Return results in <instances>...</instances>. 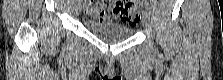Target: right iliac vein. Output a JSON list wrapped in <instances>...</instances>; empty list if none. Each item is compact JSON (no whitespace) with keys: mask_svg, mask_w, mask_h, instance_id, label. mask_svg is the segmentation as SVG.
<instances>
[{"mask_svg":"<svg viewBox=\"0 0 223 80\" xmlns=\"http://www.w3.org/2000/svg\"><path fill=\"white\" fill-rule=\"evenodd\" d=\"M82 11V4L80 2H78L75 6V13L76 15H79Z\"/></svg>","mask_w":223,"mask_h":80,"instance_id":"obj_1","label":"right iliac vein"}]
</instances>
